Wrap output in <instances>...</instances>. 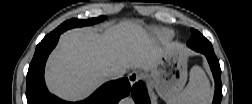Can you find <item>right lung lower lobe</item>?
I'll return each instance as SVG.
<instances>
[{
  "instance_id": "1",
  "label": "right lung lower lobe",
  "mask_w": 252,
  "mask_h": 104,
  "mask_svg": "<svg viewBox=\"0 0 252 104\" xmlns=\"http://www.w3.org/2000/svg\"><path fill=\"white\" fill-rule=\"evenodd\" d=\"M60 33L44 38L36 47L34 57L27 73L26 97L28 104H117L130 93L128 78L111 81L94 92L88 99L77 102H65L51 95L44 81V67L48 55L56 46Z\"/></svg>"
}]
</instances>
